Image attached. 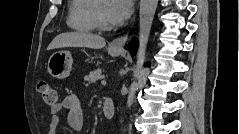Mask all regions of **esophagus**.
Instances as JSON below:
<instances>
[{
    "label": "esophagus",
    "instance_id": "34e87169",
    "mask_svg": "<svg viewBox=\"0 0 239 134\" xmlns=\"http://www.w3.org/2000/svg\"><path fill=\"white\" fill-rule=\"evenodd\" d=\"M127 38H128V33L124 34L121 37H118V38L114 39L111 42V47L122 49L124 47L125 43H126Z\"/></svg>",
    "mask_w": 239,
    "mask_h": 134
}]
</instances>
